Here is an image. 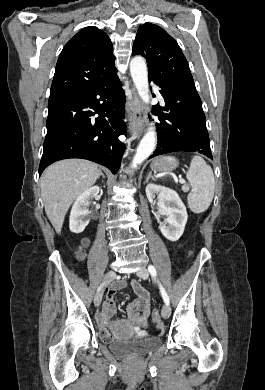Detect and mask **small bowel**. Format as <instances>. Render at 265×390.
I'll list each match as a JSON object with an SVG mask.
<instances>
[{
  "mask_svg": "<svg viewBox=\"0 0 265 390\" xmlns=\"http://www.w3.org/2000/svg\"><path fill=\"white\" fill-rule=\"evenodd\" d=\"M138 298L130 303L126 308L127 318L124 322L131 324L137 334H145V328L149 323L150 316V296L149 293L137 282H130ZM126 282H118L113 284L106 294V300L101 313L98 315L101 336L105 341L112 338L108 330V320L112 318L116 312L114 294L117 290L125 287Z\"/></svg>",
  "mask_w": 265,
  "mask_h": 390,
  "instance_id": "obj_1",
  "label": "small bowel"
}]
</instances>
